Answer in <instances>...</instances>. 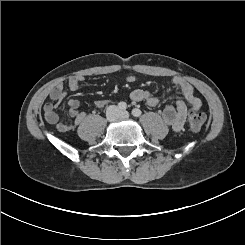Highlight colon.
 <instances>
[{"mask_svg":"<svg viewBox=\"0 0 245 245\" xmlns=\"http://www.w3.org/2000/svg\"><path fill=\"white\" fill-rule=\"evenodd\" d=\"M206 121V115L202 112L192 110L188 117V127L192 131H199Z\"/></svg>","mask_w":245,"mask_h":245,"instance_id":"5ec220e1","label":"colon"}]
</instances>
